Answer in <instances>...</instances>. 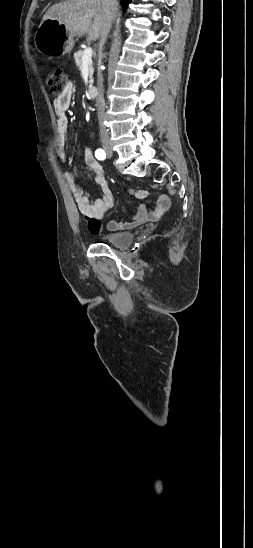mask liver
<instances>
[{
	"instance_id": "liver-1",
	"label": "liver",
	"mask_w": 253,
	"mask_h": 548,
	"mask_svg": "<svg viewBox=\"0 0 253 548\" xmlns=\"http://www.w3.org/2000/svg\"><path fill=\"white\" fill-rule=\"evenodd\" d=\"M48 19L59 21L72 38L88 33L89 40L94 41L100 37L105 24L102 0H69L56 3L47 10L42 22Z\"/></svg>"
}]
</instances>
